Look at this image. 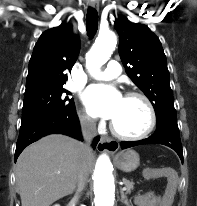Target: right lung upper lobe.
<instances>
[{
    "instance_id": "1",
    "label": "right lung upper lobe",
    "mask_w": 197,
    "mask_h": 206,
    "mask_svg": "<svg viewBox=\"0 0 197 206\" xmlns=\"http://www.w3.org/2000/svg\"><path fill=\"white\" fill-rule=\"evenodd\" d=\"M80 43L72 27L63 23L45 31L36 43L29 62L26 89L64 85L65 70L71 71L79 54Z\"/></svg>"
}]
</instances>
